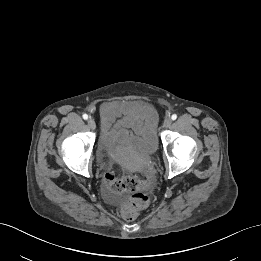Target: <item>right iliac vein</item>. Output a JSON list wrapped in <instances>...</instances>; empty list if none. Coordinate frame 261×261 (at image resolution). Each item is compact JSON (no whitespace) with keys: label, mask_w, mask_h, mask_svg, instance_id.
I'll list each match as a JSON object with an SVG mask.
<instances>
[{"label":"right iliac vein","mask_w":261,"mask_h":261,"mask_svg":"<svg viewBox=\"0 0 261 261\" xmlns=\"http://www.w3.org/2000/svg\"><path fill=\"white\" fill-rule=\"evenodd\" d=\"M88 126L91 128V129H95L96 128V123H95V120L93 118H89L88 121Z\"/></svg>","instance_id":"right-iliac-vein-1"}]
</instances>
